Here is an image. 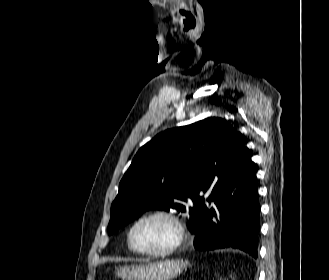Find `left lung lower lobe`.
<instances>
[{"mask_svg": "<svg viewBox=\"0 0 329 280\" xmlns=\"http://www.w3.org/2000/svg\"><path fill=\"white\" fill-rule=\"evenodd\" d=\"M239 159V168L231 182L207 199L214 205L204 203L200 208L194 247L198 250L235 248L257 258L260 206L256 169L244 146Z\"/></svg>", "mask_w": 329, "mask_h": 280, "instance_id": "left-lung-lower-lobe-1", "label": "left lung lower lobe"}]
</instances>
